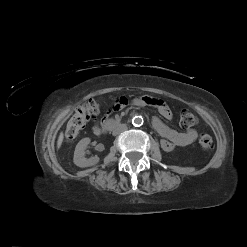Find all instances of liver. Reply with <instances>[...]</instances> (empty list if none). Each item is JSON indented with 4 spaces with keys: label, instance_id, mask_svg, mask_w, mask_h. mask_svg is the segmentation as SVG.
<instances>
[{
    "label": "liver",
    "instance_id": "1",
    "mask_svg": "<svg viewBox=\"0 0 247 247\" xmlns=\"http://www.w3.org/2000/svg\"><path fill=\"white\" fill-rule=\"evenodd\" d=\"M63 139H64V135H63V133L61 132V133L59 134V137H58V140H57V148H58V149L61 147L62 142H63Z\"/></svg>",
    "mask_w": 247,
    "mask_h": 247
}]
</instances>
